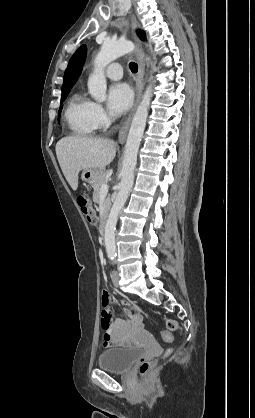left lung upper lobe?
<instances>
[{
  "mask_svg": "<svg viewBox=\"0 0 255 418\" xmlns=\"http://www.w3.org/2000/svg\"><path fill=\"white\" fill-rule=\"evenodd\" d=\"M139 37H140L141 39H144V34H142V33H140V32H139Z\"/></svg>",
  "mask_w": 255,
  "mask_h": 418,
  "instance_id": "obj_1",
  "label": "left lung upper lobe"
}]
</instances>
